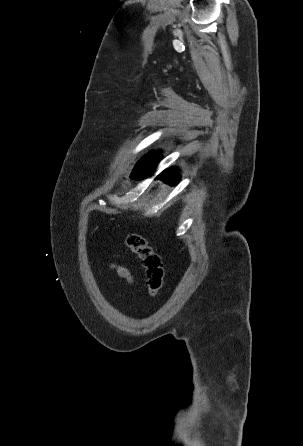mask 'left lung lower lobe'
Listing matches in <instances>:
<instances>
[{
  "label": "left lung lower lobe",
  "mask_w": 303,
  "mask_h": 446,
  "mask_svg": "<svg viewBox=\"0 0 303 446\" xmlns=\"http://www.w3.org/2000/svg\"><path fill=\"white\" fill-rule=\"evenodd\" d=\"M162 154L155 151L145 155L135 166L132 178L140 179L152 173ZM165 183L176 185L180 181V174L175 169H166L158 176Z\"/></svg>",
  "instance_id": "0a47b994"
}]
</instances>
